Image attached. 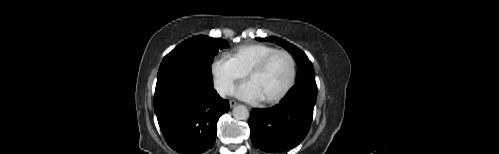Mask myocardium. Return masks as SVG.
<instances>
[{"label":"myocardium","instance_id":"myocardium-1","mask_svg":"<svg viewBox=\"0 0 499 154\" xmlns=\"http://www.w3.org/2000/svg\"><path fill=\"white\" fill-rule=\"evenodd\" d=\"M280 54L285 55L289 59L290 67H291L290 77H289V80H288L287 84L285 85V87L282 89V91L278 95H276V96H274L272 98H269V99H263V102L266 103V104H275V103H278L292 89V87L294 85V82H295V79H296V72H297L296 71V61H295V58L287 50L276 49L275 51H273V52L267 54L265 57H263L255 65H253L248 70V72H247V78L249 79L251 75L263 71L267 67V65L270 63V61L275 56L280 55Z\"/></svg>","mask_w":499,"mask_h":154}]
</instances>
